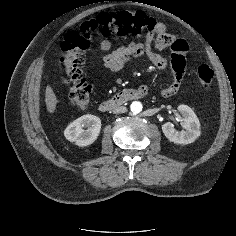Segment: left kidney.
Here are the masks:
<instances>
[{
	"instance_id": "5707ae66",
	"label": "left kidney",
	"mask_w": 236,
	"mask_h": 236,
	"mask_svg": "<svg viewBox=\"0 0 236 236\" xmlns=\"http://www.w3.org/2000/svg\"><path fill=\"white\" fill-rule=\"evenodd\" d=\"M178 111L183 117V127L186 131L176 130L170 122L162 125V131L169 141L176 144L186 145L193 143L201 135L199 119L187 105H179Z\"/></svg>"
}]
</instances>
